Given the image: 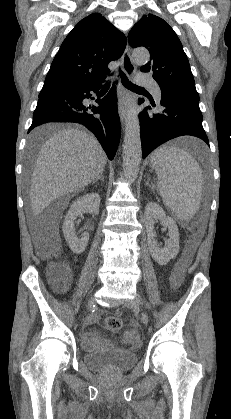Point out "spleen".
Wrapping results in <instances>:
<instances>
[{"label": "spleen", "instance_id": "obj_1", "mask_svg": "<svg viewBox=\"0 0 231 419\" xmlns=\"http://www.w3.org/2000/svg\"><path fill=\"white\" fill-rule=\"evenodd\" d=\"M150 162L164 205L179 219L193 218L203 190L202 170L196 160L182 148L161 146L151 154Z\"/></svg>", "mask_w": 231, "mask_h": 419}]
</instances>
